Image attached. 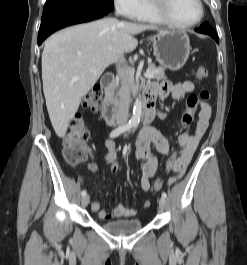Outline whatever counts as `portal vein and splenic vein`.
Instances as JSON below:
<instances>
[{
	"label": "portal vein and splenic vein",
	"mask_w": 247,
	"mask_h": 265,
	"mask_svg": "<svg viewBox=\"0 0 247 265\" xmlns=\"http://www.w3.org/2000/svg\"><path fill=\"white\" fill-rule=\"evenodd\" d=\"M145 76L147 77V78H153V74H151L150 72H146L145 73ZM79 79V76H74L73 78H72V80L73 81H77Z\"/></svg>",
	"instance_id": "obj_1"
}]
</instances>
